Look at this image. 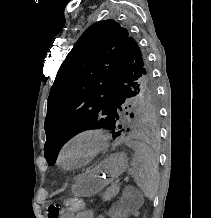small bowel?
<instances>
[{
	"instance_id": "obj_1",
	"label": "small bowel",
	"mask_w": 211,
	"mask_h": 218,
	"mask_svg": "<svg viewBox=\"0 0 211 218\" xmlns=\"http://www.w3.org/2000/svg\"><path fill=\"white\" fill-rule=\"evenodd\" d=\"M133 215L134 212L132 209L124 202L115 203L107 213L108 218H131ZM75 218H105V216L96 214L93 210L84 209L80 211Z\"/></svg>"
}]
</instances>
